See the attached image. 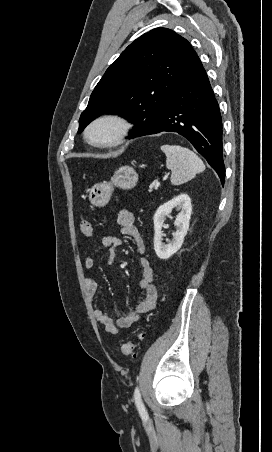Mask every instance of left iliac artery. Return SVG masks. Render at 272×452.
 Returning <instances> with one entry per match:
<instances>
[{
  "label": "left iliac artery",
  "instance_id": "44dca946",
  "mask_svg": "<svg viewBox=\"0 0 272 452\" xmlns=\"http://www.w3.org/2000/svg\"><path fill=\"white\" fill-rule=\"evenodd\" d=\"M134 401H135L136 407H137L140 415L147 416V412H146L145 406L142 402L140 390L138 387H136L135 391H134Z\"/></svg>",
  "mask_w": 272,
  "mask_h": 452
}]
</instances>
